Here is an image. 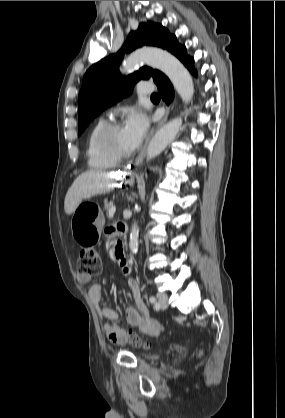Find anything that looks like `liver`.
Returning <instances> with one entry per match:
<instances>
[{"instance_id":"liver-1","label":"liver","mask_w":285,"mask_h":418,"mask_svg":"<svg viewBox=\"0 0 285 418\" xmlns=\"http://www.w3.org/2000/svg\"><path fill=\"white\" fill-rule=\"evenodd\" d=\"M114 177L113 173L101 170H89L79 175L66 193L65 213H74L83 199L107 192L114 185Z\"/></svg>"}]
</instances>
